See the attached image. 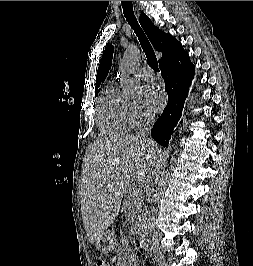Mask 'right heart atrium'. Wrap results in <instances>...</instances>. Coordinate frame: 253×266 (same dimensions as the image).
I'll return each mask as SVG.
<instances>
[{"mask_svg": "<svg viewBox=\"0 0 253 266\" xmlns=\"http://www.w3.org/2000/svg\"><path fill=\"white\" fill-rule=\"evenodd\" d=\"M130 114L135 125H140L151 118V113L141 104L130 103Z\"/></svg>", "mask_w": 253, "mask_h": 266, "instance_id": "1", "label": "right heart atrium"}]
</instances>
